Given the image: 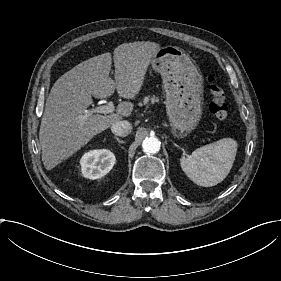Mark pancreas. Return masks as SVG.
I'll return each mask as SVG.
<instances>
[{"label":"pancreas","mask_w":281,"mask_h":281,"mask_svg":"<svg viewBox=\"0 0 281 281\" xmlns=\"http://www.w3.org/2000/svg\"><path fill=\"white\" fill-rule=\"evenodd\" d=\"M160 101V97L159 96H155V95H146L144 96V99L139 101V105L143 106L149 102L151 103H155V102H159Z\"/></svg>","instance_id":"cf45deb5"}]
</instances>
